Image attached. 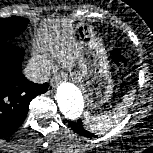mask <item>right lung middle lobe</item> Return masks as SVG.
<instances>
[{
  "instance_id": "1",
  "label": "right lung middle lobe",
  "mask_w": 153,
  "mask_h": 153,
  "mask_svg": "<svg viewBox=\"0 0 153 153\" xmlns=\"http://www.w3.org/2000/svg\"><path fill=\"white\" fill-rule=\"evenodd\" d=\"M29 20L23 17L0 18V41H10L27 27Z\"/></svg>"
}]
</instances>
